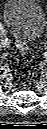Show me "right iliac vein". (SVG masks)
<instances>
[{
    "label": "right iliac vein",
    "mask_w": 47,
    "mask_h": 129,
    "mask_svg": "<svg viewBox=\"0 0 47 129\" xmlns=\"http://www.w3.org/2000/svg\"><path fill=\"white\" fill-rule=\"evenodd\" d=\"M9 46V42L7 41L6 44L2 43V47H8Z\"/></svg>",
    "instance_id": "right-iliac-vein-1"
}]
</instances>
